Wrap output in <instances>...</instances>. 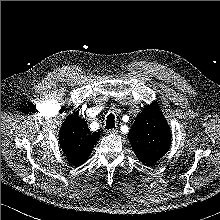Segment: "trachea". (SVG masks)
<instances>
[{
	"instance_id": "3493384b",
	"label": "trachea",
	"mask_w": 220,
	"mask_h": 220,
	"mask_svg": "<svg viewBox=\"0 0 220 220\" xmlns=\"http://www.w3.org/2000/svg\"><path fill=\"white\" fill-rule=\"evenodd\" d=\"M115 128V116L113 114H109L106 119L105 129Z\"/></svg>"
}]
</instances>
